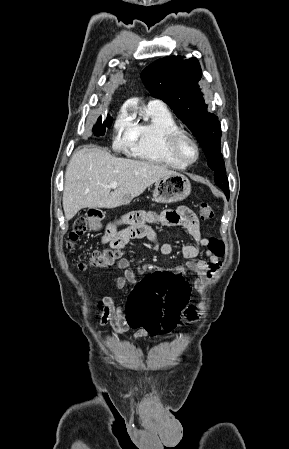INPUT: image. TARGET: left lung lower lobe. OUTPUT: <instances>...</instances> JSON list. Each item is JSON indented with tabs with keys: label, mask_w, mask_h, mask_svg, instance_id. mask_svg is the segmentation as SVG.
<instances>
[{
	"label": "left lung lower lobe",
	"mask_w": 289,
	"mask_h": 449,
	"mask_svg": "<svg viewBox=\"0 0 289 449\" xmlns=\"http://www.w3.org/2000/svg\"><path fill=\"white\" fill-rule=\"evenodd\" d=\"M227 199H229V192L225 193Z\"/></svg>",
	"instance_id": "0a47b994"
}]
</instances>
